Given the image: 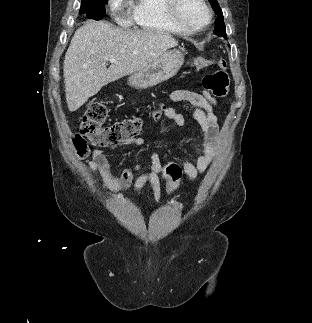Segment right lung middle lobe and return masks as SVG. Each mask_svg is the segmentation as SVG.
<instances>
[{
  "instance_id": "1",
  "label": "right lung middle lobe",
  "mask_w": 312,
  "mask_h": 323,
  "mask_svg": "<svg viewBox=\"0 0 312 323\" xmlns=\"http://www.w3.org/2000/svg\"><path fill=\"white\" fill-rule=\"evenodd\" d=\"M106 0H82L79 14H84L90 19L101 20L105 15Z\"/></svg>"
}]
</instances>
